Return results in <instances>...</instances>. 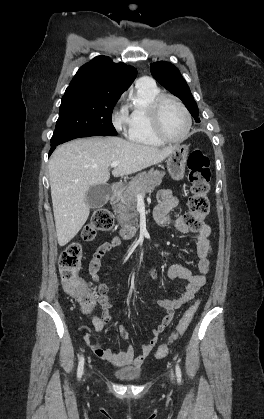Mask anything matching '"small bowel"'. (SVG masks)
I'll return each instance as SVG.
<instances>
[{"instance_id": "obj_1", "label": "small bowel", "mask_w": 264, "mask_h": 419, "mask_svg": "<svg viewBox=\"0 0 264 419\" xmlns=\"http://www.w3.org/2000/svg\"><path fill=\"white\" fill-rule=\"evenodd\" d=\"M178 202V198L171 190H161L159 193V204L154 210V218L160 225L170 226L182 233H187L190 229L184 223L183 218L171 215V211L178 205ZM210 233L211 229L208 225H203L197 233L196 254L198 263L195 272H192L189 268L181 264H174L169 267L167 271L168 277L182 280L185 282V285L178 297L174 299H161L158 301V305L165 311V315L160 320L159 324L152 330L149 341L140 346L139 354L136 355L134 347H129L125 351L114 352L109 348L103 347L98 342H93L91 334L87 333L84 336V340L96 356L119 367L129 365L139 367L143 364L156 346L159 336L173 320L176 309L191 301L196 292L205 284V275L209 272L211 265L212 246ZM121 244L122 239L119 236H115L110 241L101 244L94 253L88 267L91 280L97 284L98 299L102 307L100 317L92 316L95 332H101L105 325L111 321L110 308L112 307V304L109 297V288L107 285L100 282L99 276L101 261L108 252L119 247ZM150 278L157 280L158 273L156 271H151ZM119 330L124 337L128 336L127 331L122 325L119 326Z\"/></svg>"}]
</instances>
